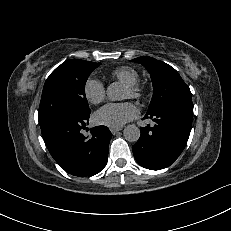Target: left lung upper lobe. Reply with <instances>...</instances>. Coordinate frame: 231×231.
Listing matches in <instances>:
<instances>
[{
    "instance_id": "left-lung-upper-lobe-1",
    "label": "left lung upper lobe",
    "mask_w": 231,
    "mask_h": 231,
    "mask_svg": "<svg viewBox=\"0 0 231 231\" xmlns=\"http://www.w3.org/2000/svg\"><path fill=\"white\" fill-rule=\"evenodd\" d=\"M132 61L142 64L151 75L153 96L148 111L156 109L170 99H192L188 85L170 65L148 56Z\"/></svg>"
}]
</instances>
